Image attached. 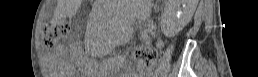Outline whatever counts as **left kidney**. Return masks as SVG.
I'll return each instance as SVG.
<instances>
[{"label":"left kidney","mask_w":258,"mask_h":77,"mask_svg":"<svg viewBox=\"0 0 258 77\" xmlns=\"http://www.w3.org/2000/svg\"><path fill=\"white\" fill-rule=\"evenodd\" d=\"M177 2H179V0H177ZM186 2V7L185 9L183 10V12L181 13V16L179 18H176V14L175 12L172 13V18H174V24H179V27H183L185 26L192 18L194 12H195V9H196V6H197V3H198V0H185Z\"/></svg>","instance_id":"left-kidney-1"}]
</instances>
